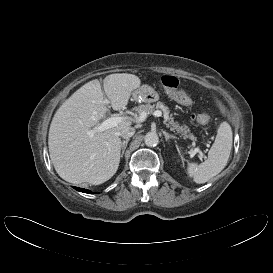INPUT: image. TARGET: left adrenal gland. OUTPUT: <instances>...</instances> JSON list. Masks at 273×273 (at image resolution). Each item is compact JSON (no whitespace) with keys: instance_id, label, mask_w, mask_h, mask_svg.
<instances>
[{"instance_id":"1","label":"left adrenal gland","mask_w":273,"mask_h":273,"mask_svg":"<svg viewBox=\"0 0 273 273\" xmlns=\"http://www.w3.org/2000/svg\"><path fill=\"white\" fill-rule=\"evenodd\" d=\"M163 134H164V136H165V140L166 141H168L169 139H174V140H176L177 139V137L176 136H174V135H170L169 133H167L166 131H163Z\"/></svg>"}]
</instances>
